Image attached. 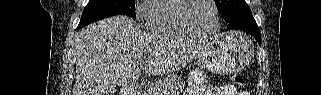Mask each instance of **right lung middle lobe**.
Masks as SVG:
<instances>
[{"instance_id": "dd1d6c3e", "label": "right lung middle lobe", "mask_w": 321, "mask_h": 95, "mask_svg": "<svg viewBox=\"0 0 321 95\" xmlns=\"http://www.w3.org/2000/svg\"><path fill=\"white\" fill-rule=\"evenodd\" d=\"M114 15H127L135 18V0H89L78 28Z\"/></svg>"}]
</instances>
